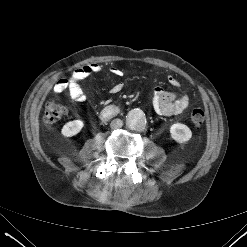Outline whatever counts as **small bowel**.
Masks as SVG:
<instances>
[{"mask_svg":"<svg viewBox=\"0 0 247 247\" xmlns=\"http://www.w3.org/2000/svg\"><path fill=\"white\" fill-rule=\"evenodd\" d=\"M101 70V65L97 63L81 66L76 69L69 78L61 79L56 83L53 90L54 94L59 96L67 91L73 101L78 103L84 102L86 100V95L84 94L80 83L91 74L99 73ZM110 72L117 77L123 75L122 70L115 66L110 68ZM168 82L174 87L178 86L177 79L172 75L168 77ZM123 87V82H117L110 88V92L112 94L119 93ZM152 103L157 114L162 116H173L184 112L188 108L190 100L187 95H178L175 92L168 91L164 87L158 85L153 91Z\"/></svg>","mask_w":247,"mask_h":247,"instance_id":"small-bowel-1","label":"small bowel"}]
</instances>
